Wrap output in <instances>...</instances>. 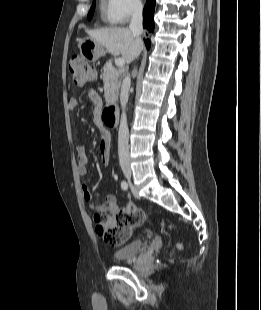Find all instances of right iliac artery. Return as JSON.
<instances>
[{"mask_svg":"<svg viewBox=\"0 0 261 310\" xmlns=\"http://www.w3.org/2000/svg\"><path fill=\"white\" fill-rule=\"evenodd\" d=\"M121 188L126 191L128 189V183L126 181H122Z\"/></svg>","mask_w":261,"mask_h":310,"instance_id":"82829eb1","label":"right iliac artery"}]
</instances>
